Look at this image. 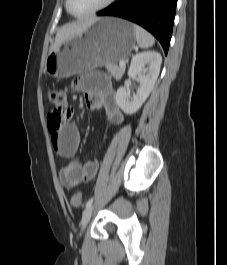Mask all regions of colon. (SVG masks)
Segmentation results:
<instances>
[{
  "label": "colon",
  "instance_id": "1",
  "mask_svg": "<svg viewBox=\"0 0 227 265\" xmlns=\"http://www.w3.org/2000/svg\"><path fill=\"white\" fill-rule=\"evenodd\" d=\"M47 97L49 102L54 106L48 115L47 124L50 132L56 133L70 120L72 109L67 102L65 93L62 91H49ZM71 204L74 207H80L82 205V195L80 192L72 195Z\"/></svg>",
  "mask_w": 227,
  "mask_h": 265
}]
</instances>
